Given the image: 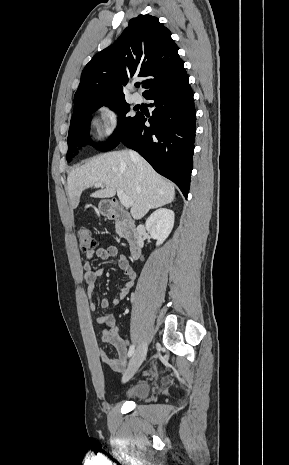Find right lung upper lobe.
Returning <instances> with one entry per match:
<instances>
[{
    "mask_svg": "<svg viewBox=\"0 0 289 465\" xmlns=\"http://www.w3.org/2000/svg\"><path fill=\"white\" fill-rule=\"evenodd\" d=\"M133 77L145 78L144 97L188 79L171 32L157 17L132 18L116 42L92 58L82 72L74 107L87 101L125 99L123 88Z\"/></svg>",
    "mask_w": 289,
    "mask_h": 465,
    "instance_id": "obj_1",
    "label": "right lung upper lobe"
}]
</instances>
